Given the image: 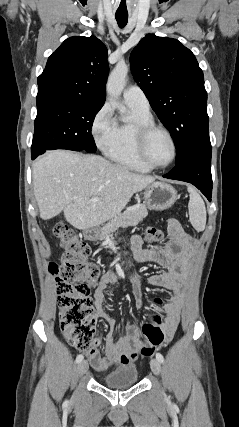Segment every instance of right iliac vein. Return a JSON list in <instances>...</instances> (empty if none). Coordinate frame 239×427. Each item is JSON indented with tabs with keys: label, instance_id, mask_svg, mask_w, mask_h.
<instances>
[{
	"label": "right iliac vein",
	"instance_id": "obj_1",
	"mask_svg": "<svg viewBox=\"0 0 239 427\" xmlns=\"http://www.w3.org/2000/svg\"><path fill=\"white\" fill-rule=\"evenodd\" d=\"M88 370V362L83 360L78 365V375L82 376Z\"/></svg>",
	"mask_w": 239,
	"mask_h": 427
}]
</instances>
